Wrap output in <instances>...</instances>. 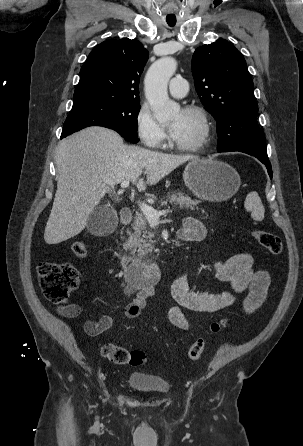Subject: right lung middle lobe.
<instances>
[{
  "label": "right lung middle lobe",
  "instance_id": "obj_1",
  "mask_svg": "<svg viewBox=\"0 0 303 446\" xmlns=\"http://www.w3.org/2000/svg\"><path fill=\"white\" fill-rule=\"evenodd\" d=\"M139 102L109 101L72 108L61 137L89 126H103L118 132L127 141L137 143Z\"/></svg>",
  "mask_w": 303,
  "mask_h": 446
}]
</instances>
